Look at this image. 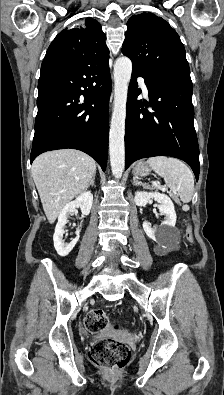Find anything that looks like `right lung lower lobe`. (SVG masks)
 I'll list each match as a JSON object with an SVG mask.
<instances>
[{"mask_svg":"<svg viewBox=\"0 0 224 395\" xmlns=\"http://www.w3.org/2000/svg\"><path fill=\"white\" fill-rule=\"evenodd\" d=\"M110 94L108 62L81 67L55 58L44 59L31 163L43 152L72 148L87 153L105 170Z\"/></svg>","mask_w":224,"mask_h":395,"instance_id":"98d812e1","label":"right lung lower lobe"}]
</instances>
